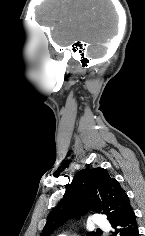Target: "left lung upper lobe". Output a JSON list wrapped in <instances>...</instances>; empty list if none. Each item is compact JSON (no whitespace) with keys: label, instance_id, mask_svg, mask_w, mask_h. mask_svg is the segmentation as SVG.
I'll list each match as a JSON object with an SVG mask.
<instances>
[{"label":"left lung upper lobe","instance_id":"1","mask_svg":"<svg viewBox=\"0 0 145 236\" xmlns=\"http://www.w3.org/2000/svg\"><path fill=\"white\" fill-rule=\"evenodd\" d=\"M130 208L129 197L106 169H82L67 187L64 198L48 215L41 236H50L68 218L79 217L87 210L107 215L112 223L124 216ZM87 236L97 234L89 232Z\"/></svg>","mask_w":145,"mask_h":236}]
</instances>
